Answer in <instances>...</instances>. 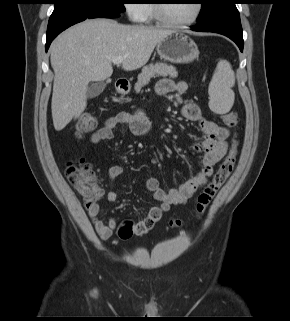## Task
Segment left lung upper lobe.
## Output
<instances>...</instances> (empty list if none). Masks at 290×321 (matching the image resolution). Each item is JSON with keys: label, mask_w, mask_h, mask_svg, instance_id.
<instances>
[{"label": "left lung upper lobe", "mask_w": 290, "mask_h": 321, "mask_svg": "<svg viewBox=\"0 0 290 321\" xmlns=\"http://www.w3.org/2000/svg\"><path fill=\"white\" fill-rule=\"evenodd\" d=\"M202 8L197 19L198 23L215 18L225 10L235 6L238 0H200Z\"/></svg>", "instance_id": "5c2ea615"}]
</instances>
